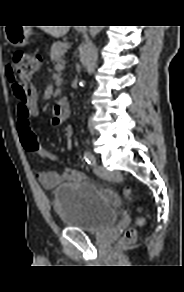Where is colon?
Returning a JSON list of instances; mask_svg holds the SVG:
<instances>
[{
	"instance_id": "colon-1",
	"label": "colon",
	"mask_w": 184,
	"mask_h": 292,
	"mask_svg": "<svg viewBox=\"0 0 184 292\" xmlns=\"http://www.w3.org/2000/svg\"><path fill=\"white\" fill-rule=\"evenodd\" d=\"M40 65V57L19 51L12 56L7 74L17 97L18 125L20 127L19 137L22 146L33 156L53 162L57 160V156L39 143L32 127V120L38 116L40 111V99L36 89L31 85V80ZM123 194L126 198H136L129 187L123 190ZM137 211L138 216L135 226H141L144 224L141 208L138 207ZM136 235V228L131 227L126 230L124 240L132 242L135 240Z\"/></svg>"
}]
</instances>
